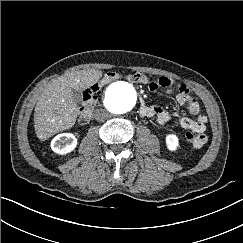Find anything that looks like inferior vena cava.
I'll return each instance as SVG.
<instances>
[{
    "label": "inferior vena cava",
    "mask_w": 243,
    "mask_h": 243,
    "mask_svg": "<svg viewBox=\"0 0 243 243\" xmlns=\"http://www.w3.org/2000/svg\"><path fill=\"white\" fill-rule=\"evenodd\" d=\"M109 113L104 109H98L94 112V117L98 121H103L108 117Z\"/></svg>",
    "instance_id": "602c4592"
}]
</instances>
